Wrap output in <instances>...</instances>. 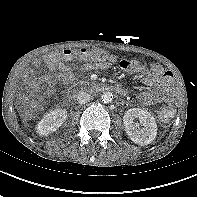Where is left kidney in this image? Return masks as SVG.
I'll use <instances>...</instances> for the list:
<instances>
[{"instance_id":"obj_1","label":"left kidney","mask_w":197,"mask_h":197,"mask_svg":"<svg viewBox=\"0 0 197 197\" xmlns=\"http://www.w3.org/2000/svg\"><path fill=\"white\" fill-rule=\"evenodd\" d=\"M135 118L139 119L142 128L134 124ZM123 122L127 135L134 143L148 145L155 140L157 124L148 111L140 108L129 109L123 117Z\"/></svg>"}]
</instances>
